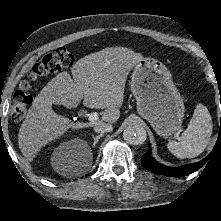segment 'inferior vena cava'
I'll list each match as a JSON object with an SVG mask.
<instances>
[{
	"instance_id": "obj_1",
	"label": "inferior vena cava",
	"mask_w": 221,
	"mask_h": 221,
	"mask_svg": "<svg viewBox=\"0 0 221 221\" xmlns=\"http://www.w3.org/2000/svg\"><path fill=\"white\" fill-rule=\"evenodd\" d=\"M112 129H113L112 125L105 122H99L94 125V131L101 134L105 132H110L112 131Z\"/></svg>"
}]
</instances>
